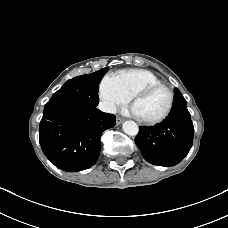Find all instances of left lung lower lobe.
Listing matches in <instances>:
<instances>
[{"label":"left lung lower lobe","mask_w":228,"mask_h":228,"mask_svg":"<svg viewBox=\"0 0 228 228\" xmlns=\"http://www.w3.org/2000/svg\"><path fill=\"white\" fill-rule=\"evenodd\" d=\"M193 136L194 127L187 102L177 91L169 116L154 127H140L135 142L149 163L174 166L190 151Z\"/></svg>","instance_id":"left-lung-lower-lobe-1"}]
</instances>
